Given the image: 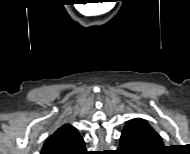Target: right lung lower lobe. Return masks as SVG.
<instances>
[{
    "instance_id": "obj_1",
    "label": "right lung lower lobe",
    "mask_w": 190,
    "mask_h": 154,
    "mask_svg": "<svg viewBox=\"0 0 190 154\" xmlns=\"http://www.w3.org/2000/svg\"><path fill=\"white\" fill-rule=\"evenodd\" d=\"M86 153V150L82 152V154Z\"/></svg>"
}]
</instances>
